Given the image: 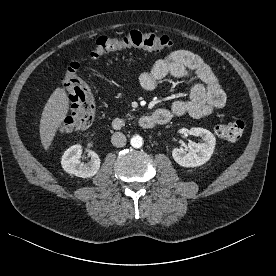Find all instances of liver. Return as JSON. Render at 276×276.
Wrapping results in <instances>:
<instances>
[{"mask_svg":"<svg viewBox=\"0 0 276 276\" xmlns=\"http://www.w3.org/2000/svg\"><path fill=\"white\" fill-rule=\"evenodd\" d=\"M68 110V95L64 88L58 87L48 99L40 119V139L45 150H48L51 146Z\"/></svg>","mask_w":276,"mask_h":276,"instance_id":"obj_1","label":"liver"}]
</instances>
